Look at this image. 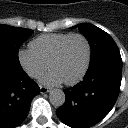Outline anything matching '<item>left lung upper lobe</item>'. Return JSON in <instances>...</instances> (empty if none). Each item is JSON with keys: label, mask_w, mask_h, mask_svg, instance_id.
Masks as SVG:
<instances>
[{"label": "left lung upper lobe", "mask_w": 128, "mask_h": 128, "mask_svg": "<svg viewBox=\"0 0 128 128\" xmlns=\"http://www.w3.org/2000/svg\"><path fill=\"white\" fill-rule=\"evenodd\" d=\"M74 27H78L89 41L91 46L90 62L104 55L120 54L112 37L102 29L92 24H79Z\"/></svg>", "instance_id": "1"}]
</instances>
